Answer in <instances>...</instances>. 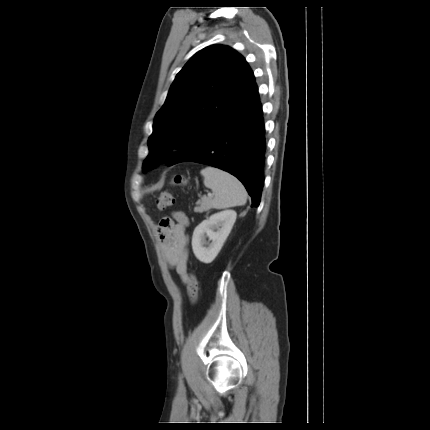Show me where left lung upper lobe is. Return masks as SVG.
<instances>
[{"mask_svg": "<svg viewBox=\"0 0 430 430\" xmlns=\"http://www.w3.org/2000/svg\"><path fill=\"white\" fill-rule=\"evenodd\" d=\"M257 89L248 63L232 48L211 45L197 52L176 75L156 114L142 171L169 160L165 153L169 147L184 151L201 125L230 116Z\"/></svg>", "mask_w": 430, "mask_h": 430, "instance_id": "1", "label": "left lung upper lobe"}]
</instances>
